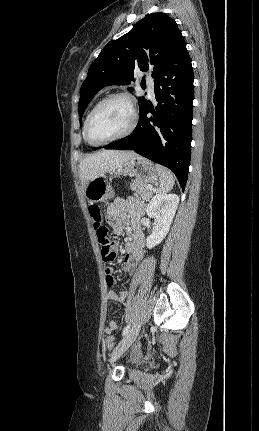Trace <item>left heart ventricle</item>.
Here are the masks:
<instances>
[{
	"label": "left heart ventricle",
	"instance_id": "left-heart-ventricle-1",
	"mask_svg": "<svg viewBox=\"0 0 259 431\" xmlns=\"http://www.w3.org/2000/svg\"><path fill=\"white\" fill-rule=\"evenodd\" d=\"M131 122V112L126 101L113 99L96 112L91 123V135L102 141L125 131Z\"/></svg>",
	"mask_w": 259,
	"mask_h": 431
}]
</instances>
